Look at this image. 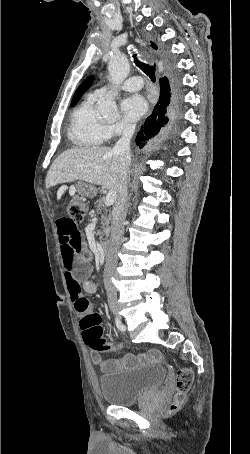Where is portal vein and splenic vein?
Here are the masks:
<instances>
[{"mask_svg":"<svg viewBox=\"0 0 250 454\" xmlns=\"http://www.w3.org/2000/svg\"><path fill=\"white\" fill-rule=\"evenodd\" d=\"M116 197H117V194L115 191H109L105 197V201H104L105 205L106 206L113 205L114 202L116 201Z\"/></svg>","mask_w":250,"mask_h":454,"instance_id":"18ae733b","label":"portal vein and splenic vein"}]
</instances>
